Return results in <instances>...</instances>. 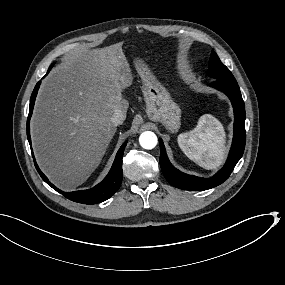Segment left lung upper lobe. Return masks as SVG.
<instances>
[{
    "label": "left lung upper lobe",
    "instance_id": "1",
    "mask_svg": "<svg viewBox=\"0 0 285 285\" xmlns=\"http://www.w3.org/2000/svg\"><path fill=\"white\" fill-rule=\"evenodd\" d=\"M208 76L214 80L221 81H235L234 76L229 71V69L220 61L217 54L212 51L211 57L209 60V68L207 70Z\"/></svg>",
    "mask_w": 285,
    "mask_h": 285
}]
</instances>
